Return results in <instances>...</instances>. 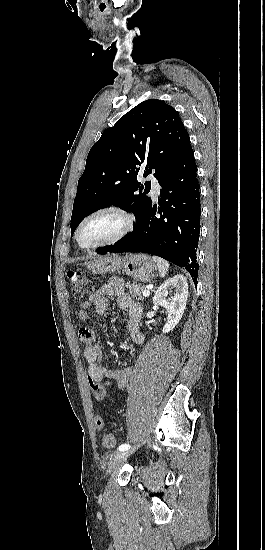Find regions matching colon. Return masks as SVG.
Here are the masks:
<instances>
[{
  "label": "colon",
  "mask_w": 265,
  "mask_h": 550,
  "mask_svg": "<svg viewBox=\"0 0 265 550\" xmlns=\"http://www.w3.org/2000/svg\"><path fill=\"white\" fill-rule=\"evenodd\" d=\"M67 279L70 285V291L73 297L82 298L83 296L90 294L94 290L93 281L79 270H70L67 273ZM91 390L95 393L97 400H103L105 398L104 393L93 380H89ZM95 424L97 428L102 429L104 427L103 419L100 416L95 417ZM103 446L106 448H113L115 445V437L111 433H104L102 437Z\"/></svg>",
  "instance_id": "obj_1"
}]
</instances>
